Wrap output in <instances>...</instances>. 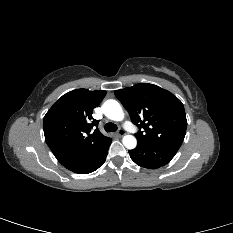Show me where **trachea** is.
Returning <instances> with one entry per match:
<instances>
[{
  "label": "trachea",
  "instance_id": "3493384b",
  "mask_svg": "<svg viewBox=\"0 0 233 233\" xmlns=\"http://www.w3.org/2000/svg\"><path fill=\"white\" fill-rule=\"evenodd\" d=\"M104 128L106 132H115L118 129L113 123H107Z\"/></svg>",
  "mask_w": 233,
  "mask_h": 233
}]
</instances>
